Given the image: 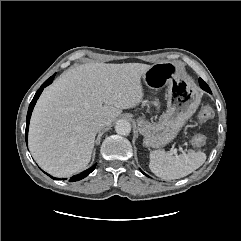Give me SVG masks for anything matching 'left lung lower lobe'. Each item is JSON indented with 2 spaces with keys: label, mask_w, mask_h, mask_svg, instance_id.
Returning a JSON list of instances; mask_svg holds the SVG:
<instances>
[{
  "label": "left lung lower lobe",
  "mask_w": 241,
  "mask_h": 241,
  "mask_svg": "<svg viewBox=\"0 0 241 241\" xmlns=\"http://www.w3.org/2000/svg\"><path fill=\"white\" fill-rule=\"evenodd\" d=\"M199 83H200V86L203 90L211 93V90L210 88L208 87V85L202 80V79H199ZM144 175H146L144 172H142Z\"/></svg>",
  "instance_id": "obj_1"
}]
</instances>
